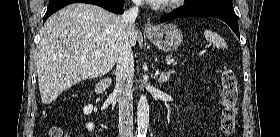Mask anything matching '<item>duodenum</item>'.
<instances>
[{
	"label": "duodenum",
	"mask_w": 280,
	"mask_h": 137,
	"mask_svg": "<svg viewBox=\"0 0 280 137\" xmlns=\"http://www.w3.org/2000/svg\"><path fill=\"white\" fill-rule=\"evenodd\" d=\"M112 84V81L110 79H103L100 81L97 86L95 87V95L102 94L106 89H108Z\"/></svg>",
	"instance_id": "obj_1"
}]
</instances>
